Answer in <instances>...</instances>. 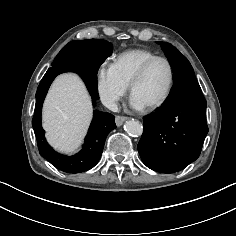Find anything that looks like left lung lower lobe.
Here are the masks:
<instances>
[{
    "label": "left lung lower lobe",
    "mask_w": 236,
    "mask_h": 236,
    "mask_svg": "<svg viewBox=\"0 0 236 236\" xmlns=\"http://www.w3.org/2000/svg\"><path fill=\"white\" fill-rule=\"evenodd\" d=\"M207 102L194 74L174 82L162 107L143 118L138 144L143 163L162 173H174L195 161L208 133Z\"/></svg>",
    "instance_id": "left-lung-lower-lobe-1"
}]
</instances>
